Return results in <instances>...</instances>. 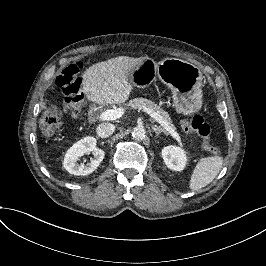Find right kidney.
<instances>
[{
	"instance_id": "ca27d5eb",
	"label": "right kidney",
	"mask_w": 266,
	"mask_h": 266,
	"mask_svg": "<svg viewBox=\"0 0 266 266\" xmlns=\"http://www.w3.org/2000/svg\"><path fill=\"white\" fill-rule=\"evenodd\" d=\"M93 154L92 159L88 164H78V160L84 154ZM74 163V175H88L92 173L103 160L105 152L96 146V140L93 137L84 138L75 143L66 153Z\"/></svg>"
}]
</instances>
